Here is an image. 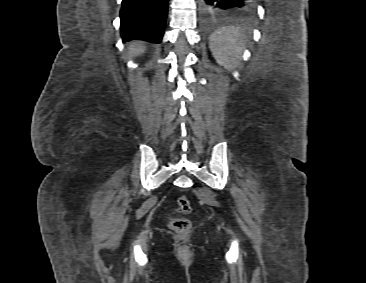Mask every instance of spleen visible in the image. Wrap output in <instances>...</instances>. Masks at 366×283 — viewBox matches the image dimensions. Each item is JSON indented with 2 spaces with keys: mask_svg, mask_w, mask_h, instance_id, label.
<instances>
[{
  "mask_svg": "<svg viewBox=\"0 0 366 283\" xmlns=\"http://www.w3.org/2000/svg\"><path fill=\"white\" fill-rule=\"evenodd\" d=\"M245 44L246 37L240 27H222L209 38L214 58L225 69L234 68L240 63Z\"/></svg>",
  "mask_w": 366,
  "mask_h": 283,
  "instance_id": "3e777b00",
  "label": "spleen"
}]
</instances>
